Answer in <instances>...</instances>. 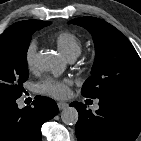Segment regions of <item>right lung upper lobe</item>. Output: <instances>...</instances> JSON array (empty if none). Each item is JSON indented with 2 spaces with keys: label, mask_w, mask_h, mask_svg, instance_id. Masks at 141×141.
Returning <instances> with one entry per match:
<instances>
[{
  "label": "right lung upper lobe",
  "mask_w": 141,
  "mask_h": 141,
  "mask_svg": "<svg viewBox=\"0 0 141 141\" xmlns=\"http://www.w3.org/2000/svg\"><path fill=\"white\" fill-rule=\"evenodd\" d=\"M28 21H30V20H27V21H20V22H17V23H14L12 26H10L7 30H5L3 33H8V32H10L11 30H13L14 28H16V27H18V26H20V25H22V24H25V23H27Z\"/></svg>",
  "instance_id": "cb5924a9"
}]
</instances>
